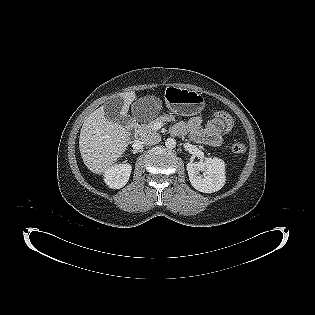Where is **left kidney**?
<instances>
[{
  "label": "left kidney",
  "mask_w": 315,
  "mask_h": 315,
  "mask_svg": "<svg viewBox=\"0 0 315 315\" xmlns=\"http://www.w3.org/2000/svg\"><path fill=\"white\" fill-rule=\"evenodd\" d=\"M187 171L191 185L200 192L213 193L225 184V163L220 158L189 162ZM200 172H203V175H200Z\"/></svg>",
  "instance_id": "5707ae66"
}]
</instances>
